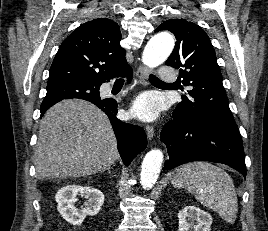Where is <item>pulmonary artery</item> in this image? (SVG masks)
Here are the masks:
<instances>
[{
    "instance_id": "e3ab8cb5",
    "label": "pulmonary artery",
    "mask_w": 268,
    "mask_h": 231,
    "mask_svg": "<svg viewBox=\"0 0 268 231\" xmlns=\"http://www.w3.org/2000/svg\"><path fill=\"white\" fill-rule=\"evenodd\" d=\"M160 70L159 77L165 81L171 82L177 78L176 73L171 66H161Z\"/></svg>"
}]
</instances>
